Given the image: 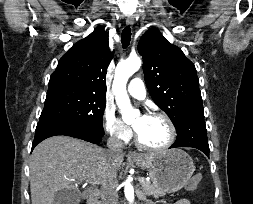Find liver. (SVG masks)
I'll return each instance as SVG.
<instances>
[{
	"label": "liver",
	"instance_id": "obj_1",
	"mask_svg": "<svg viewBox=\"0 0 253 204\" xmlns=\"http://www.w3.org/2000/svg\"><path fill=\"white\" fill-rule=\"evenodd\" d=\"M123 153L110 157L108 151L68 136H53L33 151L30 163L32 204H54L56 192L77 190L83 182L103 184L123 163Z\"/></svg>",
	"mask_w": 253,
	"mask_h": 204
}]
</instances>
